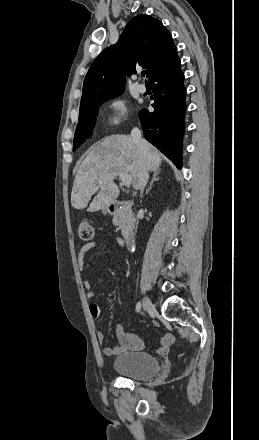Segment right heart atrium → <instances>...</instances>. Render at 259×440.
Segmentation results:
<instances>
[{
    "label": "right heart atrium",
    "mask_w": 259,
    "mask_h": 440,
    "mask_svg": "<svg viewBox=\"0 0 259 440\" xmlns=\"http://www.w3.org/2000/svg\"><path fill=\"white\" fill-rule=\"evenodd\" d=\"M109 115L107 117V124L110 127H120L128 117V106L126 102L119 97L112 98L108 102Z\"/></svg>",
    "instance_id": "obj_1"
}]
</instances>
